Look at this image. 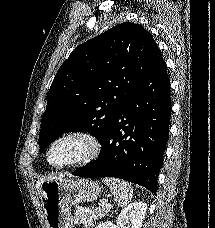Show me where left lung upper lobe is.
<instances>
[{
    "mask_svg": "<svg viewBox=\"0 0 215 228\" xmlns=\"http://www.w3.org/2000/svg\"><path fill=\"white\" fill-rule=\"evenodd\" d=\"M160 51L141 25L125 22L79 45L47 95L40 152L65 132H89L101 143Z\"/></svg>",
    "mask_w": 215,
    "mask_h": 228,
    "instance_id": "left-lung-upper-lobe-1",
    "label": "left lung upper lobe"
}]
</instances>
